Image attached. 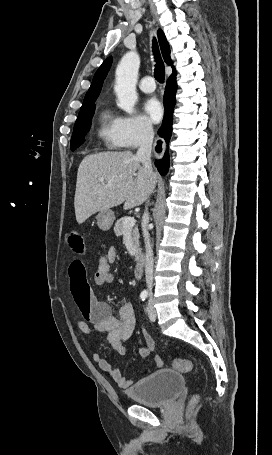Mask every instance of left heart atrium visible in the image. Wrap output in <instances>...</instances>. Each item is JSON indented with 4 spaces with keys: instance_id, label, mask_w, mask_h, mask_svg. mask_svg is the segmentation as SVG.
I'll use <instances>...</instances> for the list:
<instances>
[{
    "instance_id": "obj_1",
    "label": "left heart atrium",
    "mask_w": 272,
    "mask_h": 455,
    "mask_svg": "<svg viewBox=\"0 0 272 455\" xmlns=\"http://www.w3.org/2000/svg\"><path fill=\"white\" fill-rule=\"evenodd\" d=\"M144 110L152 122H159L163 115V109L158 99L152 97L145 101Z\"/></svg>"
}]
</instances>
